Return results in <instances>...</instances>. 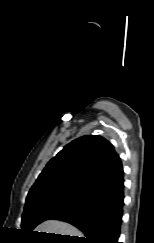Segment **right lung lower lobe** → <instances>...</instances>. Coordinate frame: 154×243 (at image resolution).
<instances>
[{"label":"right lung lower lobe","mask_w":154,"mask_h":243,"mask_svg":"<svg viewBox=\"0 0 154 243\" xmlns=\"http://www.w3.org/2000/svg\"><path fill=\"white\" fill-rule=\"evenodd\" d=\"M124 205L123 177L113 185L86 200L66 209L50 219L68 222L79 228L85 237L78 243H118Z\"/></svg>","instance_id":"obj_1"}]
</instances>
